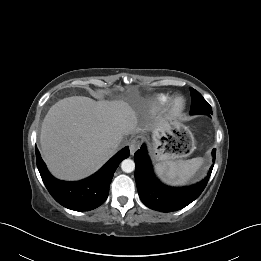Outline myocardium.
Segmentation results:
<instances>
[{
    "label": "myocardium",
    "instance_id": "1",
    "mask_svg": "<svg viewBox=\"0 0 261 261\" xmlns=\"http://www.w3.org/2000/svg\"><path fill=\"white\" fill-rule=\"evenodd\" d=\"M185 108V101L182 97H175L172 100L170 112L173 116L180 115Z\"/></svg>",
    "mask_w": 261,
    "mask_h": 261
}]
</instances>
